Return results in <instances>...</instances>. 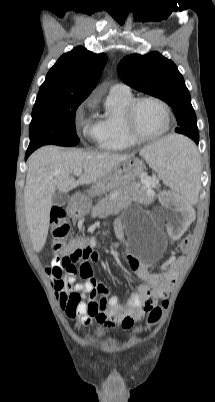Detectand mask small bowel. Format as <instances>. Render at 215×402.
Wrapping results in <instances>:
<instances>
[{
    "label": "small bowel",
    "mask_w": 215,
    "mask_h": 402,
    "mask_svg": "<svg viewBox=\"0 0 215 402\" xmlns=\"http://www.w3.org/2000/svg\"><path fill=\"white\" fill-rule=\"evenodd\" d=\"M115 234L118 239H123L119 220L115 223ZM85 244V249L80 250L83 257L77 263V270L56 272L54 268L57 257H53L51 266L46 269L59 294L63 311L69 318L77 319L82 326H89L96 321L108 327L119 324L123 328H130L134 322L141 320L159 299L169 293L174 281L173 272L152 274L132 261L131 268L143 283L125 304H121L116 297L109 296L106 287L93 275L90 263L99 259V253L94 249L97 241L94 239ZM84 265L87 270H80ZM78 272L82 282L77 281Z\"/></svg>",
    "instance_id": "c3829d8e"
}]
</instances>
